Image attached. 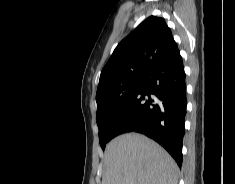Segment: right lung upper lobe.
I'll use <instances>...</instances> for the list:
<instances>
[{
    "mask_svg": "<svg viewBox=\"0 0 235 184\" xmlns=\"http://www.w3.org/2000/svg\"><path fill=\"white\" fill-rule=\"evenodd\" d=\"M177 51L165 20L156 16L145 19L118 44L104 66L96 93L97 105L109 89L143 79Z\"/></svg>",
    "mask_w": 235,
    "mask_h": 184,
    "instance_id": "right-lung-upper-lobe-1",
    "label": "right lung upper lobe"
}]
</instances>
